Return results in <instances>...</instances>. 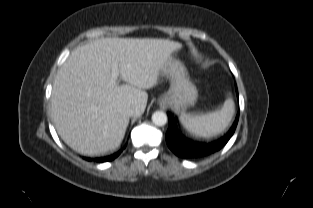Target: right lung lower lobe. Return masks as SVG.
<instances>
[{"label":"right lung lower lobe","mask_w":313,"mask_h":208,"mask_svg":"<svg viewBox=\"0 0 313 208\" xmlns=\"http://www.w3.org/2000/svg\"><path fill=\"white\" fill-rule=\"evenodd\" d=\"M120 153H121V151L117 152V153L114 154V155L108 156V157L96 158L95 161H98V162L111 161V160L115 159ZM87 160L91 161L92 159L87 158Z\"/></svg>","instance_id":"right-lung-lower-lobe-1"}]
</instances>
